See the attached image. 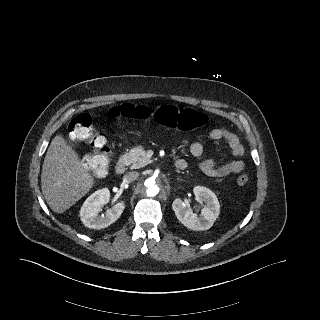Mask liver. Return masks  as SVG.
I'll list each match as a JSON object with an SVG mask.
<instances>
[{
  "label": "liver",
  "mask_w": 320,
  "mask_h": 320,
  "mask_svg": "<svg viewBox=\"0 0 320 320\" xmlns=\"http://www.w3.org/2000/svg\"><path fill=\"white\" fill-rule=\"evenodd\" d=\"M92 176L61 136L52 140L41 173V189L49 207L63 213L93 187Z\"/></svg>",
  "instance_id": "liver-1"
}]
</instances>
